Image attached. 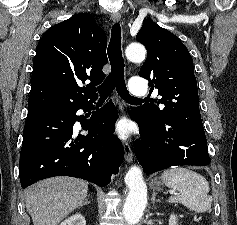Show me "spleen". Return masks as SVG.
<instances>
[{
  "instance_id": "1",
  "label": "spleen",
  "mask_w": 237,
  "mask_h": 225,
  "mask_svg": "<svg viewBox=\"0 0 237 225\" xmlns=\"http://www.w3.org/2000/svg\"><path fill=\"white\" fill-rule=\"evenodd\" d=\"M161 178L167 187L179 192L168 202H179L197 213L210 210L212 197L208 195L209 184L202 175L187 168L172 167L165 170Z\"/></svg>"
}]
</instances>
